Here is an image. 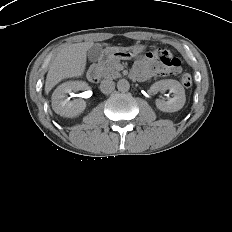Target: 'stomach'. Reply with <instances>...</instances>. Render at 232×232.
<instances>
[{"mask_svg":"<svg viewBox=\"0 0 232 232\" xmlns=\"http://www.w3.org/2000/svg\"><path fill=\"white\" fill-rule=\"evenodd\" d=\"M143 46H135L132 48L109 47L103 51V60L110 62L114 60L131 59L144 51Z\"/></svg>","mask_w":232,"mask_h":232,"instance_id":"1","label":"stomach"}]
</instances>
